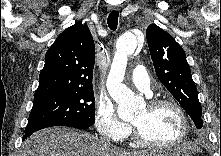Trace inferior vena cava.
<instances>
[{"instance_id":"602c4592","label":"inferior vena cava","mask_w":221,"mask_h":156,"mask_svg":"<svg viewBox=\"0 0 221 156\" xmlns=\"http://www.w3.org/2000/svg\"><path fill=\"white\" fill-rule=\"evenodd\" d=\"M102 142H103L105 145H111L108 140L106 141V140L104 139V140H102Z\"/></svg>"}]
</instances>
